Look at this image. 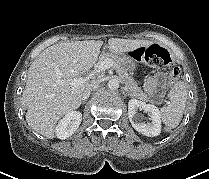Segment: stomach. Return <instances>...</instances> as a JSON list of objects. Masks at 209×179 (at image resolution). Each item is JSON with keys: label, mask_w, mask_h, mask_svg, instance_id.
<instances>
[{"label": "stomach", "mask_w": 209, "mask_h": 179, "mask_svg": "<svg viewBox=\"0 0 209 179\" xmlns=\"http://www.w3.org/2000/svg\"><path fill=\"white\" fill-rule=\"evenodd\" d=\"M133 52L134 50L130 51V53H133ZM130 53L129 55L123 57V64L127 71H129L130 73H133L137 67L138 60L133 54H130Z\"/></svg>", "instance_id": "0dacf381"}]
</instances>
